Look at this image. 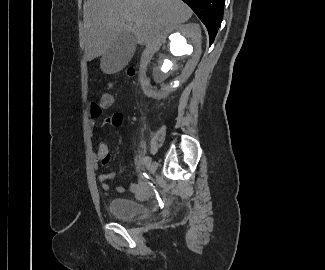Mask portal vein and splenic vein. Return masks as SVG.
Instances as JSON below:
<instances>
[{"label":"portal vein and splenic vein","mask_w":325,"mask_h":270,"mask_svg":"<svg viewBox=\"0 0 325 270\" xmlns=\"http://www.w3.org/2000/svg\"><path fill=\"white\" fill-rule=\"evenodd\" d=\"M131 21H133V22H136L137 20L136 19H130Z\"/></svg>","instance_id":"portal-vein-and-splenic-vein-1"}]
</instances>
